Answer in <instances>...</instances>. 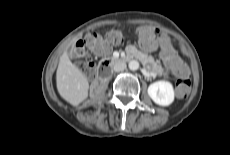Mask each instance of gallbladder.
Returning <instances> with one entry per match:
<instances>
[{"label": "gallbladder", "instance_id": "1", "mask_svg": "<svg viewBox=\"0 0 230 155\" xmlns=\"http://www.w3.org/2000/svg\"><path fill=\"white\" fill-rule=\"evenodd\" d=\"M73 50V46H71L70 48H69V52H71Z\"/></svg>", "mask_w": 230, "mask_h": 155}]
</instances>
